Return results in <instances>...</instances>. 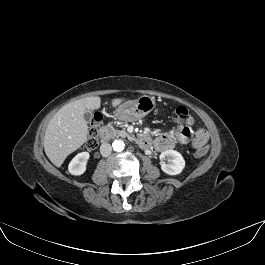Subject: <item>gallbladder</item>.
I'll return each instance as SVG.
<instances>
[{
    "mask_svg": "<svg viewBox=\"0 0 265 265\" xmlns=\"http://www.w3.org/2000/svg\"><path fill=\"white\" fill-rule=\"evenodd\" d=\"M84 119L86 122H91L92 121V112L90 110H86L84 113Z\"/></svg>",
    "mask_w": 265,
    "mask_h": 265,
    "instance_id": "bac80fb5",
    "label": "gallbladder"
}]
</instances>
